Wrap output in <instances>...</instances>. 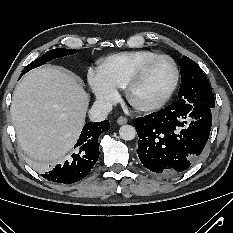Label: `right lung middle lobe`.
<instances>
[{
  "label": "right lung middle lobe",
  "mask_w": 233,
  "mask_h": 233,
  "mask_svg": "<svg viewBox=\"0 0 233 233\" xmlns=\"http://www.w3.org/2000/svg\"><path fill=\"white\" fill-rule=\"evenodd\" d=\"M76 52H77V50H74V49H63V48L50 50V51L46 52L44 55H42L40 58L34 60L29 65H27L23 69L22 73L25 74L28 71H30L31 69L39 67V66L45 64L46 62H49L53 59L64 57L67 55H72V54H75Z\"/></svg>",
  "instance_id": "obj_1"
}]
</instances>
